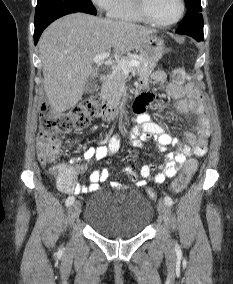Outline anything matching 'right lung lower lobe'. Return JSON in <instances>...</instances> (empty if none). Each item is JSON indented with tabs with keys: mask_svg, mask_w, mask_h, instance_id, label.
Returning a JSON list of instances; mask_svg holds the SVG:
<instances>
[{
	"mask_svg": "<svg viewBox=\"0 0 233 284\" xmlns=\"http://www.w3.org/2000/svg\"><path fill=\"white\" fill-rule=\"evenodd\" d=\"M66 14L69 13H63V14H58L52 17H49L43 21H41L40 23L35 24V31H34V41L35 44L38 42L39 37L41 35V33L43 32V30L50 24L52 23L54 20H56L57 18L64 16Z\"/></svg>",
	"mask_w": 233,
	"mask_h": 284,
	"instance_id": "right-lung-lower-lobe-1",
	"label": "right lung lower lobe"
}]
</instances>
